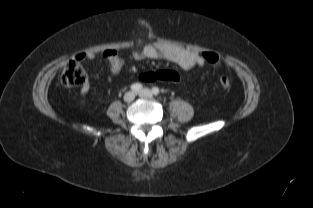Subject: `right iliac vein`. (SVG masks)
Returning a JSON list of instances; mask_svg holds the SVG:
<instances>
[{"instance_id":"obj_1","label":"right iliac vein","mask_w":313,"mask_h":208,"mask_svg":"<svg viewBox=\"0 0 313 208\" xmlns=\"http://www.w3.org/2000/svg\"><path fill=\"white\" fill-rule=\"evenodd\" d=\"M135 99V94L133 92H128L124 95V101L127 103L132 102Z\"/></svg>"}]
</instances>
